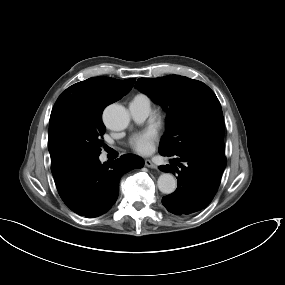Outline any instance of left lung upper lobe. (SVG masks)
<instances>
[{
	"label": "left lung upper lobe",
	"instance_id": "1",
	"mask_svg": "<svg viewBox=\"0 0 285 285\" xmlns=\"http://www.w3.org/2000/svg\"><path fill=\"white\" fill-rule=\"evenodd\" d=\"M136 88L167 111L159 153L168 156L210 151L225 154L220 102L203 82L179 75L140 78Z\"/></svg>",
	"mask_w": 285,
	"mask_h": 285
}]
</instances>
